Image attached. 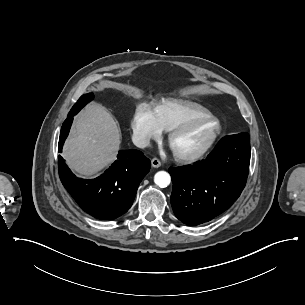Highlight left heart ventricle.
Instances as JSON below:
<instances>
[{
  "label": "left heart ventricle",
  "mask_w": 305,
  "mask_h": 305,
  "mask_svg": "<svg viewBox=\"0 0 305 305\" xmlns=\"http://www.w3.org/2000/svg\"><path fill=\"white\" fill-rule=\"evenodd\" d=\"M217 129V123L213 120H207L202 123L191 126L177 143V148L182 150H191L206 145Z\"/></svg>",
  "instance_id": "1"
}]
</instances>
